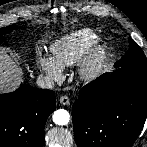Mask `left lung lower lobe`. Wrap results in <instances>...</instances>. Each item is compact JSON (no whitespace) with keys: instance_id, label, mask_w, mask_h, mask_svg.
I'll use <instances>...</instances> for the list:
<instances>
[{"instance_id":"left-lung-lower-lobe-1","label":"left lung lower lobe","mask_w":147,"mask_h":147,"mask_svg":"<svg viewBox=\"0 0 147 147\" xmlns=\"http://www.w3.org/2000/svg\"><path fill=\"white\" fill-rule=\"evenodd\" d=\"M80 90L73 104L77 147H131L147 118V68L115 64Z\"/></svg>"}]
</instances>
